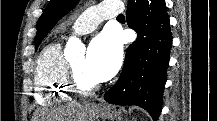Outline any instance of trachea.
I'll return each mask as SVG.
<instances>
[{
  "label": "trachea",
  "instance_id": "trachea-1",
  "mask_svg": "<svg viewBox=\"0 0 217 121\" xmlns=\"http://www.w3.org/2000/svg\"><path fill=\"white\" fill-rule=\"evenodd\" d=\"M118 17H124V15L121 14V15H119Z\"/></svg>",
  "mask_w": 217,
  "mask_h": 121
}]
</instances>
